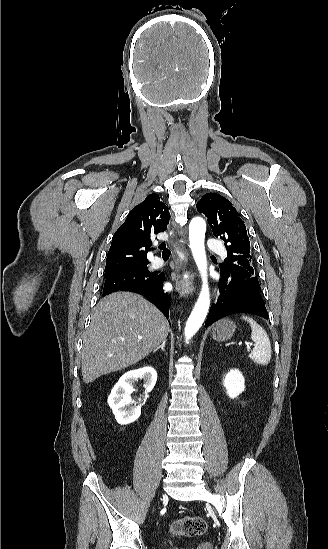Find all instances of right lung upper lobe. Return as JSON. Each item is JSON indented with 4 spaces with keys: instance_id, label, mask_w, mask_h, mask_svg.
Listing matches in <instances>:
<instances>
[{
    "instance_id": "1",
    "label": "right lung upper lobe",
    "mask_w": 328,
    "mask_h": 549,
    "mask_svg": "<svg viewBox=\"0 0 328 549\" xmlns=\"http://www.w3.org/2000/svg\"><path fill=\"white\" fill-rule=\"evenodd\" d=\"M170 213L157 194H150L128 214L112 238L106 273L147 266L151 239L167 229Z\"/></svg>"
}]
</instances>
